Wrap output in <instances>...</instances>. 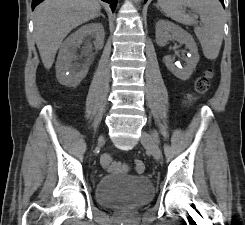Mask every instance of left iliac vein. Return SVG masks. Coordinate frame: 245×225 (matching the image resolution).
I'll return each mask as SVG.
<instances>
[{
  "label": "left iliac vein",
  "mask_w": 245,
  "mask_h": 225,
  "mask_svg": "<svg viewBox=\"0 0 245 225\" xmlns=\"http://www.w3.org/2000/svg\"><path fill=\"white\" fill-rule=\"evenodd\" d=\"M140 141L142 145L145 146L151 152V154L157 161L161 159L160 148L151 134L143 131Z\"/></svg>",
  "instance_id": "obj_1"
}]
</instances>
